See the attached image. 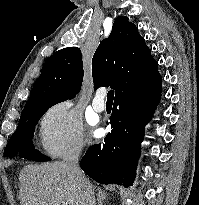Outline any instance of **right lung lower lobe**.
<instances>
[{
    "mask_svg": "<svg viewBox=\"0 0 199 205\" xmlns=\"http://www.w3.org/2000/svg\"><path fill=\"white\" fill-rule=\"evenodd\" d=\"M162 78L158 70L132 81L115 95L110 117L111 132L92 145L80 160L81 169L102 184L129 187L136 175L140 143L145 125L161 97Z\"/></svg>",
    "mask_w": 199,
    "mask_h": 205,
    "instance_id": "obj_1",
    "label": "right lung lower lobe"
}]
</instances>
